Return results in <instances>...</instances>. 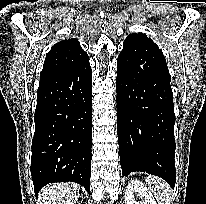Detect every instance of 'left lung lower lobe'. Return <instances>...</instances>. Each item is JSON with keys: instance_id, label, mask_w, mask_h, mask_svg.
<instances>
[{"instance_id": "1", "label": "left lung lower lobe", "mask_w": 206, "mask_h": 204, "mask_svg": "<svg viewBox=\"0 0 206 204\" xmlns=\"http://www.w3.org/2000/svg\"><path fill=\"white\" fill-rule=\"evenodd\" d=\"M132 70L117 60V131L122 175L142 171L176 183L174 104L167 66L144 60ZM167 65V64H166Z\"/></svg>"}]
</instances>
